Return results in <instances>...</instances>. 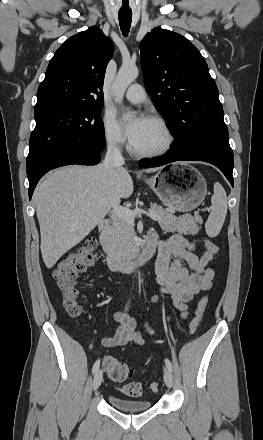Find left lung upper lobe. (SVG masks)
I'll use <instances>...</instances> for the list:
<instances>
[{
	"mask_svg": "<svg viewBox=\"0 0 263 440\" xmlns=\"http://www.w3.org/2000/svg\"><path fill=\"white\" fill-rule=\"evenodd\" d=\"M140 52L145 87L176 138L173 146L191 154L229 138L216 83L189 40L154 28L141 41Z\"/></svg>",
	"mask_w": 263,
	"mask_h": 440,
	"instance_id": "left-lung-upper-lobe-1",
	"label": "left lung upper lobe"
}]
</instances>
